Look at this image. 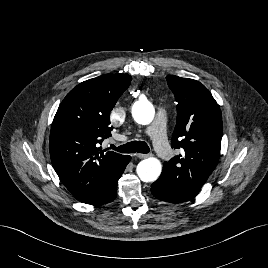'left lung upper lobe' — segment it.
<instances>
[{
	"label": "left lung upper lobe",
	"instance_id": "obj_1",
	"mask_svg": "<svg viewBox=\"0 0 268 268\" xmlns=\"http://www.w3.org/2000/svg\"><path fill=\"white\" fill-rule=\"evenodd\" d=\"M166 79L178 102L172 148L183 153L164 163L159 179L197 195L220 156V107L200 82L174 75Z\"/></svg>",
	"mask_w": 268,
	"mask_h": 268
}]
</instances>
